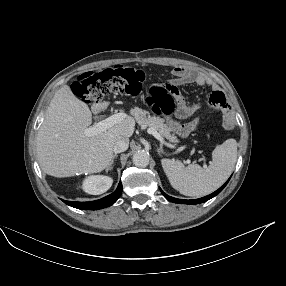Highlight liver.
Instances as JSON below:
<instances>
[{"label": "liver", "mask_w": 286, "mask_h": 286, "mask_svg": "<svg viewBox=\"0 0 286 286\" xmlns=\"http://www.w3.org/2000/svg\"><path fill=\"white\" fill-rule=\"evenodd\" d=\"M103 104H93L98 110ZM92 113L67 85L51 100L37 135V155L42 170L54 177H70L74 173H99L113 158L118 138L131 137L135 120L126 117L120 123L94 136H86Z\"/></svg>", "instance_id": "6515ba94"}]
</instances>
